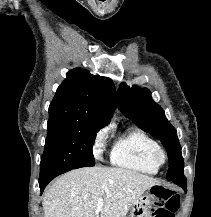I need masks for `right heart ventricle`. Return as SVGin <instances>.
Wrapping results in <instances>:
<instances>
[{
	"mask_svg": "<svg viewBox=\"0 0 211 217\" xmlns=\"http://www.w3.org/2000/svg\"><path fill=\"white\" fill-rule=\"evenodd\" d=\"M158 143L140 129H130L113 144L110 161L113 165L141 172L156 174L158 166L152 160V152Z\"/></svg>",
	"mask_w": 211,
	"mask_h": 217,
	"instance_id": "1",
	"label": "right heart ventricle"
}]
</instances>
